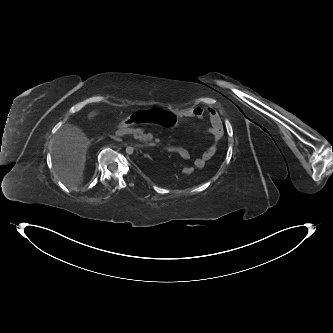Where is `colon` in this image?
I'll return each instance as SVG.
<instances>
[{"instance_id": "5ec220e1", "label": "colon", "mask_w": 333, "mask_h": 333, "mask_svg": "<svg viewBox=\"0 0 333 333\" xmlns=\"http://www.w3.org/2000/svg\"><path fill=\"white\" fill-rule=\"evenodd\" d=\"M177 117L174 112L164 110V109H148L143 111L137 110L133 113L126 114L124 116L123 122L126 127L132 128L136 125L145 123L148 124H164V125H174L176 123ZM194 168L192 166H182L181 172L185 175L189 173H194Z\"/></svg>"}]
</instances>
